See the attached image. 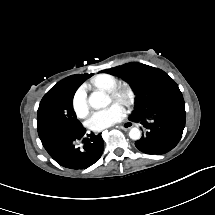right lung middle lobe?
I'll use <instances>...</instances> for the list:
<instances>
[{
  "instance_id": "dd1d6c3e",
  "label": "right lung middle lobe",
  "mask_w": 215,
  "mask_h": 215,
  "mask_svg": "<svg viewBox=\"0 0 215 215\" xmlns=\"http://www.w3.org/2000/svg\"><path fill=\"white\" fill-rule=\"evenodd\" d=\"M86 79L73 76L65 78L45 94L37 112L38 134L51 130L71 133L86 130L80 126L72 107L74 93Z\"/></svg>"
}]
</instances>
